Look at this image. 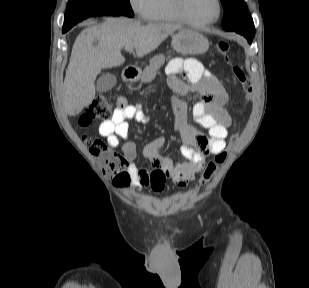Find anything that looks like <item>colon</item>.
<instances>
[{"label": "colon", "instance_id": "obj_1", "mask_svg": "<svg viewBox=\"0 0 309 288\" xmlns=\"http://www.w3.org/2000/svg\"><path fill=\"white\" fill-rule=\"evenodd\" d=\"M217 46L219 52L230 64L235 79L240 83L244 93V99L249 101L253 92L251 79L240 63L231 60L230 45L228 42L220 41ZM114 111V106L109 98L105 94H98L93 102L81 114L79 125L89 126L95 120L108 119L113 115ZM237 139V133H233L229 138L228 147L218 152L214 159L204 166L201 180L202 185H204L213 172L225 162L228 152L236 144ZM85 143L90 152L101 161L103 171L111 176L114 185L122 188L130 184L131 176L127 171V163L122 156L109 150L107 145L100 139L86 138Z\"/></svg>", "mask_w": 309, "mask_h": 288}]
</instances>
